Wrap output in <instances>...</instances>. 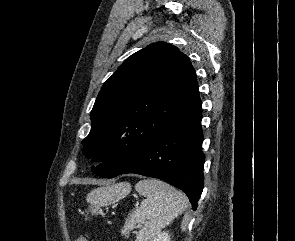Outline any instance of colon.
<instances>
[{"label":"colon","mask_w":295,"mask_h":241,"mask_svg":"<svg viewBox=\"0 0 295 241\" xmlns=\"http://www.w3.org/2000/svg\"><path fill=\"white\" fill-rule=\"evenodd\" d=\"M76 241H89V240H87L86 238L80 237Z\"/></svg>","instance_id":"obj_1"}]
</instances>
